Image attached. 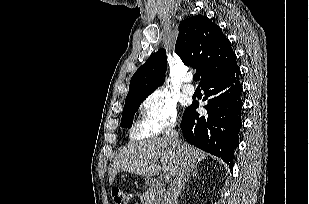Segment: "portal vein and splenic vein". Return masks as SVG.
<instances>
[{"label": "portal vein and splenic vein", "mask_w": 309, "mask_h": 204, "mask_svg": "<svg viewBox=\"0 0 309 204\" xmlns=\"http://www.w3.org/2000/svg\"><path fill=\"white\" fill-rule=\"evenodd\" d=\"M171 177V175L169 173H166V175L164 176L165 180H169Z\"/></svg>", "instance_id": "obj_1"}]
</instances>
